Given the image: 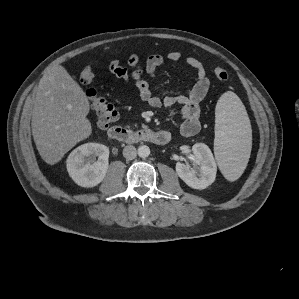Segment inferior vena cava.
Segmentation results:
<instances>
[{
    "label": "inferior vena cava",
    "mask_w": 299,
    "mask_h": 299,
    "mask_svg": "<svg viewBox=\"0 0 299 299\" xmlns=\"http://www.w3.org/2000/svg\"><path fill=\"white\" fill-rule=\"evenodd\" d=\"M137 155V150L134 146L132 145H127L124 147L123 149V156L127 159V160H133Z\"/></svg>",
    "instance_id": "1"
}]
</instances>
